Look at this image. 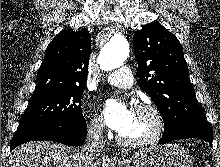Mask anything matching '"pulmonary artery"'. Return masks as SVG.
Segmentation results:
<instances>
[{
	"mask_svg": "<svg viewBox=\"0 0 220 167\" xmlns=\"http://www.w3.org/2000/svg\"><path fill=\"white\" fill-rule=\"evenodd\" d=\"M105 80L107 83L123 89H128L133 85L132 74L128 67H121L112 71L105 76Z\"/></svg>",
	"mask_w": 220,
	"mask_h": 167,
	"instance_id": "pulmonary-artery-1",
	"label": "pulmonary artery"
}]
</instances>
